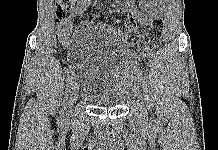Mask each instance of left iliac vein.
<instances>
[{"instance_id":"4c4485c4","label":"left iliac vein","mask_w":218,"mask_h":150,"mask_svg":"<svg viewBox=\"0 0 218 150\" xmlns=\"http://www.w3.org/2000/svg\"><path fill=\"white\" fill-rule=\"evenodd\" d=\"M138 86H137V89L134 87L132 90H133V93L136 95V96H138V99H139V101L141 102V109H142V111L143 112H145V108L143 107V104H142V96L138 93V90H139V86L141 85V83L139 82L138 84H137Z\"/></svg>"}]
</instances>
